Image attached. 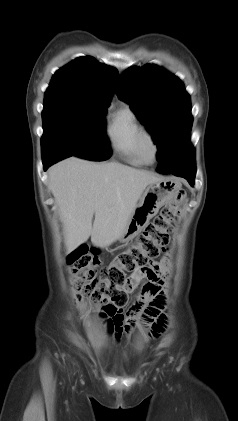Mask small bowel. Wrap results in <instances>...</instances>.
Wrapping results in <instances>:
<instances>
[{"mask_svg": "<svg viewBox=\"0 0 238 421\" xmlns=\"http://www.w3.org/2000/svg\"><path fill=\"white\" fill-rule=\"evenodd\" d=\"M169 264L170 257L166 254L160 261H154L148 267L138 269L132 274L134 288L144 280L146 282L143 283L137 300L131 305L125 315L121 314L117 309L110 315L108 329L116 339L129 332L136 322L142 327L152 325L154 331L162 329L164 322L162 312L165 307L163 279ZM145 304H147V307L139 315Z\"/></svg>", "mask_w": 238, "mask_h": 421, "instance_id": "small-bowel-1", "label": "small bowel"}]
</instances>
